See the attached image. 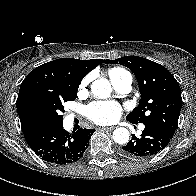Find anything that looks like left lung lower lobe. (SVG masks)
Masks as SVG:
<instances>
[{
	"instance_id": "1",
	"label": "left lung lower lobe",
	"mask_w": 196,
	"mask_h": 196,
	"mask_svg": "<svg viewBox=\"0 0 196 196\" xmlns=\"http://www.w3.org/2000/svg\"><path fill=\"white\" fill-rule=\"evenodd\" d=\"M144 125L145 129L142 131L141 137L133 135L131 141L122 147V153L125 156L146 158L156 155L167 146L173 137L157 125L150 123Z\"/></svg>"
}]
</instances>
